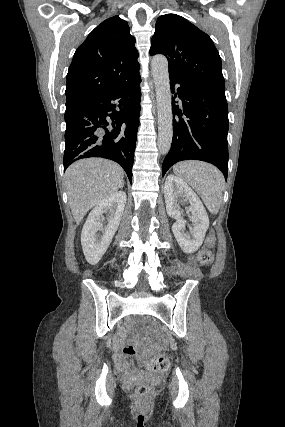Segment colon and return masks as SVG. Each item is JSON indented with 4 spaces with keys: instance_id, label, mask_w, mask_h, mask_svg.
<instances>
[{
    "instance_id": "colon-1",
    "label": "colon",
    "mask_w": 285,
    "mask_h": 427,
    "mask_svg": "<svg viewBox=\"0 0 285 427\" xmlns=\"http://www.w3.org/2000/svg\"><path fill=\"white\" fill-rule=\"evenodd\" d=\"M214 245L215 237L212 233H210L207 236L204 245L197 254V260L200 264L208 266L213 263L214 257L211 249L214 247ZM123 352L126 355L135 354V350L130 346L124 347ZM169 365L170 361L168 356L163 354L148 360L145 364V367L148 373L154 374L167 370ZM155 390L156 385L153 381H149L145 384H139L135 387V393L142 401H148L153 396Z\"/></svg>"
}]
</instances>
